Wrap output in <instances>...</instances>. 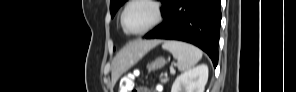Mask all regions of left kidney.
Instances as JSON below:
<instances>
[{"label": "left kidney", "mask_w": 296, "mask_h": 92, "mask_svg": "<svg viewBox=\"0 0 296 92\" xmlns=\"http://www.w3.org/2000/svg\"><path fill=\"white\" fill-rule=\"evenodd\" d=\"M207 80V65H198L179 75L172 85L171 92H204Z\"/></svg>", "instance_id": "5707ae66"}]
</instances>
